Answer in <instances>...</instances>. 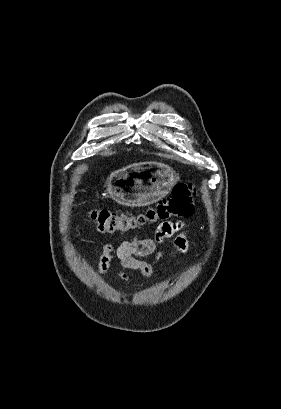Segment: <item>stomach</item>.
I'll return each mask as SVG.
<instances>
[{
	"instance_id": "obj_1",
	"label": "stomach",
	"mask_w": 281,
	"mask_h": 409,
	"mask_svg": "<svg viewBox=\"0 0 281 409\" xmlns=\"http://www.w3.org/2000/svg\"><path fill=\"white\" fill-rule=\"evenodd\" d=\"M178 180V172L164 162H134L112 172L106 190L119 205L148 207L171 192Z\"/></svg>"
}]
</instances>
